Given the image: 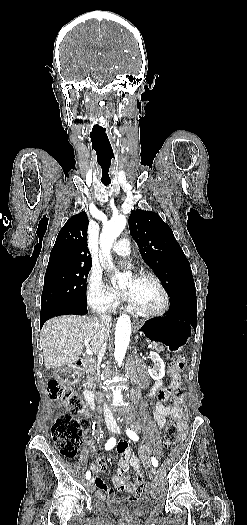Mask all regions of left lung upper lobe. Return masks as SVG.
<instances>
[{"instance_id":"left-lung-upper-lobe-1","label":"left lung upper lobe","mask_w":247,"mask_h":525,"mask_svg":"<svg viewBox=\"0 0 247 525\" xmlns=\"http://www.w3.org/2000/svg\"><path fill=\"white\" fill-rule=\"evenodd\" d=\"M128 223L142 258L162 282L170 301L196 298L190 263L169 225L157 213L140 209L131 212Z\"/></svg>"}]
</instances>
